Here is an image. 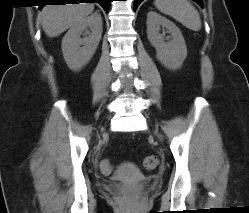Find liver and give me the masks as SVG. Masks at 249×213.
Returning <instances> with one entry per match:
<instances>
[{
  "instance_id": "6515ba94",
  "label": "liver",
  "mask_w": 249,
  "mask_h": 213,
  "mask_svg": "<svg viewBox=\"0 0 249 213\" xmlns=\"http://www.w3.org/2000/svg\"><path fill=\"white\" fill-rule=\"evenodd\" d=\"M94 10L92 3L47 5L38 15L44 32L57 37L68 28L86 18Z\"/></svg>"
}]
</instances>
